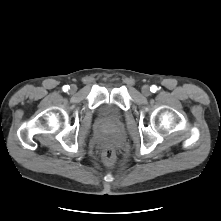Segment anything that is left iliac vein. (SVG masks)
Masks as SVG:
<instances>
[{"mask_svg":"<svg viewBox=\"0 0 221 221\" xmlns=\"http://www.w3.org/2000/svg\"><path fill=\"white\" fill-rule=\"evenodd\" d=\"M142 94H143L144 96H146V97L151 94L150 88H149L148 85H144V86L142 87Z\"/></svg>","mask_w":221,"mask_h":221,"instance_id":"1","label":"left iliac vein"}]
</instances>
